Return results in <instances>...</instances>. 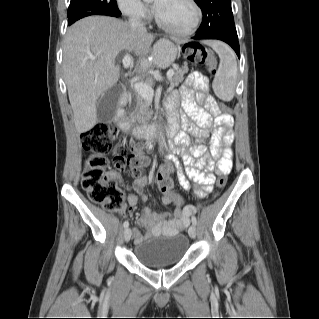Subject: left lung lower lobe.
<instances>
[{
    "label": "left lung lower lobe",
    "mask_w": 319,
    "mask_h": 319,
    "mask_svg": "<svg viewBox=\"0 0 319 319\" xmlns=\"http://www.w3.org/2000/svg\"><path fill=\"white\" fill-rule=\"evenodd\" d=\"M193 39H218L221 41L226 42L229 44L238 57L240 58V49H239V43H238V37L235 35H228V34H222V33H215V34H210V35H195Z\"/></svg>",
    "instance_id": "left-lung-lower-lobe-1"
}]
</instances>
